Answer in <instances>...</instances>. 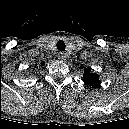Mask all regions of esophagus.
Returning a JSON list of instances; mask_svg holds the SVG:
<instances>
[{
    "instance_id": "esophagus-1",
    "label": "esophagus",
    "mask_w": 129,
    "mask_h": 129,
    "mask_svg": "<svg viewBox=\"0 0 129 129\" xmlns=\"http://www.w3.org/2000/svg\"><path fill=\"white\" fill-rule=\"evenodd\" d=\"M65 58H66L65 53L60 52V53L58 54V59H60V60H64Z\"/></svg>"
}]
</instances>
